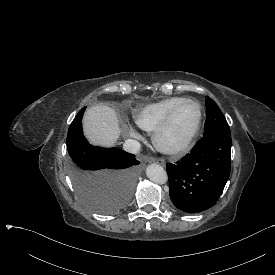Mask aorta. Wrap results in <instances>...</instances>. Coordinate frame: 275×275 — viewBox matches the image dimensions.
<instances>
[{
    "label": "aorta",
    "mask_w": 275,
    "mask_h": 275,
    "mask_svg": "<svg viewBox=\"0 0 275 275\" xmlns=\"http://www.w3.org/2000/svg\"><path fill=\"white\" fill-rule=\"evenodd\" d=\"M147 177L156 183H165L167 180V174L162 166L156 163H151L146 166L145 169Z\"/></svg>",
    "instance_id": "aorta-1"
}]
</instances>
